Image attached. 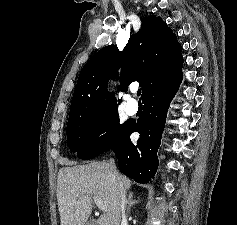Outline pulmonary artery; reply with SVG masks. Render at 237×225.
<instances>
[{"label":"pulmonary artery","mask_w":237,"mask_h":225,"mask_svg":"<svg viewBox=\"0 0 237 225\" xmlns=\"http://www.w3.org/2000/svg\"><path fill=\"white\" fill-rule=\"evenodd\" d=\"M137 110H138L137 101L132 97L127 98L125 101V111L127 112V114L134 115L137 112Z\"/></svg>","instance_id":"e3ab8cb5"}]
</instances>
